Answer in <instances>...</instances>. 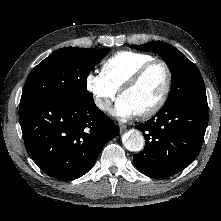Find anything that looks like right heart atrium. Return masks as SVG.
Here are the masks:
<instances>
[{
  "label": "right heart atrium",
  "instance_id": "obj_1",
  "mask_svg": "<svg viewBox=\"0 0 221 221\" xmlns=\"http://www.w3.org/2000/svg\"><path fill=\"white\" fill-rule=\"evenodd\" d=\"M85 87L101 111L108 109L117 94V89L106 80L102 72H89L85 77Z\"/></svg>",
  "mask_w": 221,
  "mask_h": 221
}]
</instances>
